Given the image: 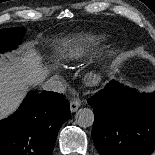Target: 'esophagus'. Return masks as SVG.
Returning <instances> with one entry per match:
<instances>
[{
    "label": "esophagus",
    "mask_w": 155,
    "mask_h": 155,
    "mask_svg": "<svg viewBox=\"0 0 155 155\" xmlns=\"http://www.w3.org/2000/svg\"><path fill=\"white\" fill-rule=\"evenodd\" d=\"M81 105V101L78 100V99H75L73 101H71L70 103V111L73 113V112H76L78 110V108L80 107Z\"/></svg>",
    "instance_id": "esophagus-1"
}]
</instances>
